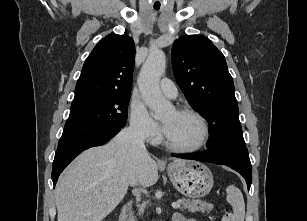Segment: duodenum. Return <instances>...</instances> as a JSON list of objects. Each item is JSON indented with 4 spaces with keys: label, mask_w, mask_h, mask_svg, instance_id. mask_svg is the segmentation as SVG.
Here are the masks:
<instances>
[{
    "label": "duodenum",
    "mask_w": 307,
    "mask_h": 221,
    "mask_svg": "<svg viewBox=\"0 0 307 221\" xmlns=\"http://www.w3.org/2000/svg\"><path fill=\"white\" fill-rule=\"evenodd\" d=\"M132 203H133L132 200H130L127 204L123 206L119 216V221H127V215Z\"/></svg>",
    "instance_id": "1"
}]
</instances>
